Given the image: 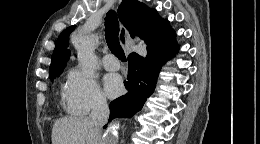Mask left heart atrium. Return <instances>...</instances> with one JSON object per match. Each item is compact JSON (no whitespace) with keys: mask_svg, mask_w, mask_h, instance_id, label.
Returning <instances> with one entry per match:
<instances>
[{"mask_svg":"<svg viewBox=\"0 0 260 144\" xmlns=\"http://www.w3.org/2000/svg\"><path fill=\"white\" fill-rule=\"evenodd\" d=\"M104 85L110 97L119 95L123 89L122 80L117 74H108L104 78Z\"/></svg>","mask_w":260,"mask_h":144,"instance_id":"obj_1","label":"left heart atrium"}]
</instances>
